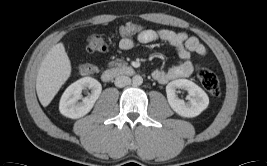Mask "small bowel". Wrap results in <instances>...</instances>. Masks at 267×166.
Returning a JSON list of instances; mask_svg holds the SVG:
<instances>
[{
  "label": "small bowel",
  "mask_w": 267,
  "mask_h": 166,
  "mask_svg": "<svg viewBox=\"0 0 267 166\" xmlns=\"http://www.w3.org/2000/svg\"><path fill=\"white\" fill-rule=\"evenodd\" d=\"M135 35L136 40L141 44L160 41L175 46L177 54L182 61L167 70L156 69L152 73L153 78L161 84L189 77L196 68L190 61L191 54L206 55L205 46L196 37H190L183 32H175L169 29H145L139 30ZM134 44L133 35H128L126 38L120 39L119 48L123 51H129L134 47Z\"/></svg>",
  "instance_id": "1"
}]
</instances>
